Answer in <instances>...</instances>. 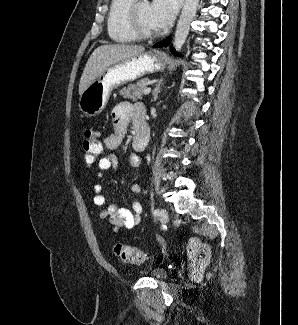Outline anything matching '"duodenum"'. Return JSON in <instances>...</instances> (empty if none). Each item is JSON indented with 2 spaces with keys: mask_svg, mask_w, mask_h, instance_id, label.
<instances>
[{
  "mask_svg": "<svg viewBox=\"0 0 298 325\" xmlns=\"http://www.w3.org/2000/svg\"><path fill=\"white\" fill-rule=\"evenodd\" d=\"M134 139L133 146L142 151L148 144L150 129L146 120V110L143 105L138 104L133 109Z\"/></svg>",
  "mask_w": 298,
  "mask_h": 325,
  "instance_id": "obj_1",
  "label": "duodenum"
}]
</instances>
